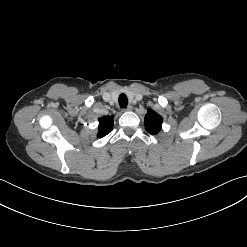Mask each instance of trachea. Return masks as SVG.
I'll list each match as a JSON object with an SVG mask.
<instances>
[{"mask_svg":"<svg viewBox=\"0 0 247 247\" xmlns=\"http://www.w3.org/2000/svg\"><path fill=\"white\" fill-rule=\"evenodd\" d=\"M119 105L121 108H126L128 105V98L124 93L119 96Z\"/></svg>","mask_w":247,"mask_h":247,"instance_id":"obj_1","label":"trachea"}]
</instances>
